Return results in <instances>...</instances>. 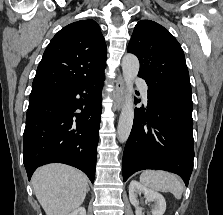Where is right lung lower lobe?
<instances>
[{
  "label": "right lung lower lobe",
  "mask_w": 223,
  "mask_h": 215,
  "mask_svg": "<svg viewBox=\"0 0 223 215\" xmlns=\"http://www.w3.org/2000/svg\"><path fill=\"white\" fill-rule=\"evenodd\" d=\"M104 79L103 71L69 92L29 105L23 134L29 180L37 167L58 162L82 170L94 182ZM78 108L82 112L74 114Z\"/></svg>",
  "instance_id": "obj_1"
}]
</instances>
